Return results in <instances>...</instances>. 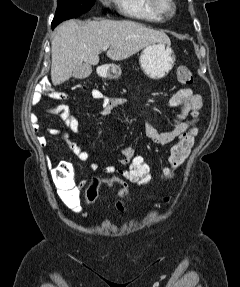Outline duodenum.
Returning <instances> with one entry per match:
<instances>
[{"instance_id":"duodenum-1","label":"duodenum","mask_w":240,"mask_h":287,"mask_svg":"<svg viewBox=\"0 0 240 287\" xmlns=\"http://www.w3.org/2000/svg\"><path fill=\"white\" fill-rule=\"evenodd\" d=\"M100 76L107 77L109 75V67L106 64L99 66Z\"/></svg>"}]
</instances>
